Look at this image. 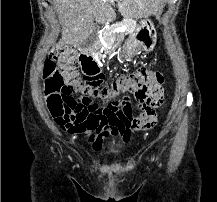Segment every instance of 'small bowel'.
I'll return each instance as SVG.
<instances>
[{
	"instance_id": "small-bowel-1",
	"label": "small bowel",
	"mask_w": 217,
	"mask_h": 202,
	"mask_svg": "<svg viewBox=\"0 0 217 202\" xmlns=\"http://www.w3.org/2000/svg\"><path fill=\"white\" fill-rule=\"evenodd\" d=\"M93 66V65H91ZM75 79V75L73 76ZM75 82L77 83L78 88H84V90H96L93 93L94 98L98 99H103L104 96V90H105V85H86L85 83H79L77 79H75ZM131 106V103L127 104ZM132 107V106H131ZM139 116H156L155 112L154 114H144L143 108H141V112ZM122 135V140L124 143H128L131 138V132H124ZM91 141H111L112 137L111 136H106V131H94V136L90 137Z\"/></svg>"
}]
</instances>
